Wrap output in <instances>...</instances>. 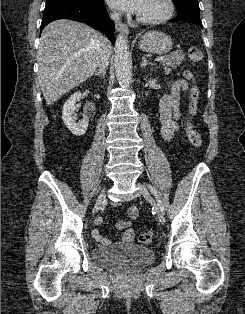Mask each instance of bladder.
<instances>
[{
    "label": "bladder",
    "instance_id": "obj_1",
    "mask_svg": "<svg viewBox=\"0 0 245 314\" xmlns=\"http://www.w3.org/2000/svg\"><path fill=\"white\" fill-rule=\"evenodd\" d=\"M155 252L148 247L127 244L96 246L93 249V259L96 263L129 273H134L154 262Z\"/></svg>",
    "mask_w": 245,
    "mask_h": 314
}]
</instances>
